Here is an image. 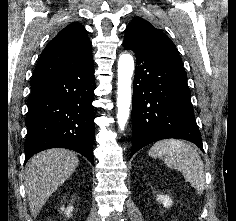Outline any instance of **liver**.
Instances as JSON below:
<instances>
[{
  "instance_id": "obj_1",
  "label": "liver",
  "mask_w": 236,
  "mask_h": 221,
  "mask_svg": "<svg viewBox=\"0 0 236 221\" xmlns=\"http://www.w3.org/2000/svg\"><path fill=\"white\" fill-rule=\"evenodd\" d=\"M78 164L77 155L62 148L48 149L31 158L27 164L24 185L34 218L53 192L73 174Z\"/></svg>"
}]
</instances>
